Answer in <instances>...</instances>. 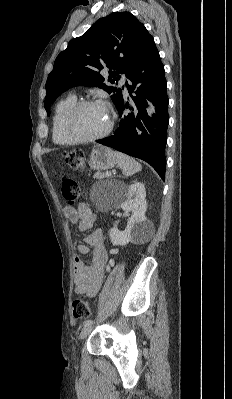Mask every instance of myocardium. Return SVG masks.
I'll return each mask as SVG.
<instances>
[{
	"instance_id": "obj_1",
	"label": "myocardium",
	"mask_w": 232,
	"mask_h": 399,
	"mask_svg": "<svg viewBox=\"0 0 232 399\" xmlns=\"http://www.w3.org/2000/svg\"><path fill=\"white\" fill-rule=\"evenodd\" d=\"M96 104H101V105H106L100 100H95V99H83L80 101H77L66 113L65 118H64V130L68 137L72 139L76 143H95L101 140H104L107 138L113 131L114 125H115V119L112 113V109L106 105L109 109L110 112V122L108 128L100 135L95 136V137H81L79 136L73 129V119L77 112L89 105H96Z\"/></svg>"
}]
</instances>
